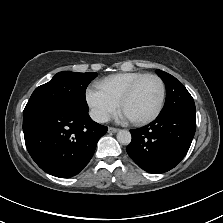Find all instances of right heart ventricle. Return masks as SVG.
I'll return each mask as SVG.
<instances>
[{"instance_id":"e07e8e85","label":"right heart ventricle","mask_w":223,"mask_h":223,"mask_svg":"<svg viewBox=\"0 0 223 223\" xmlns=\"http://www.w3.org/2000/svg\"><path fill=\"white\" fill-rule=\"evenodd\" d=\"M146 73L142 72H122L113 74L98 83L116 100H119L123 94Z\"/></svg>"}]
</instances>
